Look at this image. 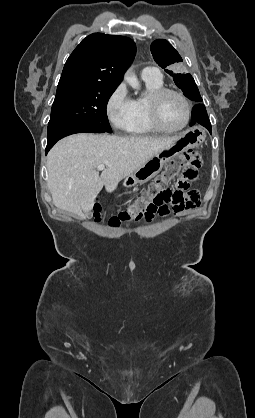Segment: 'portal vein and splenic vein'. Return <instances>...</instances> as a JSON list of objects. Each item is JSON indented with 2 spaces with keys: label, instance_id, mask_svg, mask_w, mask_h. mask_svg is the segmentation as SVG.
<instances>
[{
  "label": "portal vein and splenic vein",
  "instance_id": "portal-vein-and-splenic-vein-1",
  "mask_svg": "<svg viewBox=\"0 0 255 418\" xmlns=\"http://www.w3.org/2000/svg\"><path fill=\"white\" fill-rule=\"evenodd\" d=\"M104 169H105V165L104 164H100V165L97 166V170L98 171H101V170H104Z\"/></svg>",
  "mask_w": 255,
  "mask_h": 418
}]
</instances>
